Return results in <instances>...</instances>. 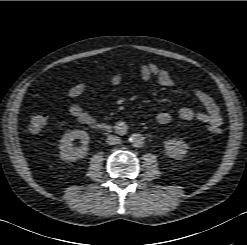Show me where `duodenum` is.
Instances as JSON below:
<instances>
[{"label":"duodenum","mask_w":247,"mask_h":245,"mask_svg":"<svg viewBox=\"0 0 247 245\" xmlns=\"http://www.w3.org/2000/svg\"><path fill=\"white\" fill-rule=\"evenodd\" d=\"M99 130H102V131H110L111 130V127L107 124H101L98 126Z\"/></svg>","instance_id":"410a0bca"}]
</instances>
